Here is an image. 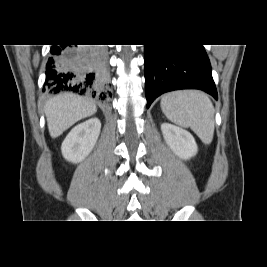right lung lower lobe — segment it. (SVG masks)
Here are the masks:
<instances>
[{
    "label": "right lung lower lobe",
    "instance_id": "98d812e1",
    "mask_svg": "<svg viewBox=\"0 0 267 267\" xmlns=\"http://www.w3.org/2000/svg\"><path fill=\"white\" fill-rule=\"evenodd\" d=\"M46 65L44 91L73 92L106 100L110 96L106 50L103 47L76 49L55 45Z\"/></svg>",
    "mask_w": 267,
    "mask_h": 267
}]
</instances>
